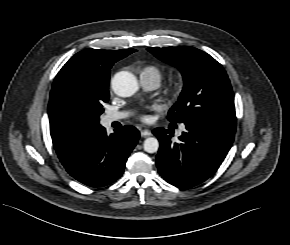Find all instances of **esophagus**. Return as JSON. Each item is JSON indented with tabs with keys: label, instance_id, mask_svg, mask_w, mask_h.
<instances>
[{
	"label": "esophagus",
	"instance_id": "1",
	"mask_svg": "<svg viewBox=\"0 0 290 245\" xmlns=\"http://www.w3.org/2000/svg\"><path fill=\"white\" fill-rule=\"evenodd\" d=\"M152 133L149 129H143L141 130V137L146 138L148 136H150Z\"/></svg>",
	"mask_w": 290,
	"mask_h": 245
}]
</instances>
